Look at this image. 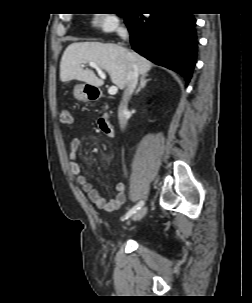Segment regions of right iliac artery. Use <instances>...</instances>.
<instances>
[{
  "label": "right iliac artery",
  "instance_id": "82829eb1",
  "mask_svg": "<svg viewBox=\"0 0 252 303\" xmlns=\"http://www.w3.org/2000/svg\"><path fill=\"white\" fill-rule=\"evenodd\" d=\"M144 202L140 201L138 202L132 209H130L127 214L124 216L123 220L128 219L130 216H132L137 210H139L143 206Z\"/></svg>",
  "mask_w": 252,
  "mask_h": 303
}]
</instances>
